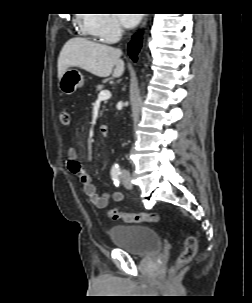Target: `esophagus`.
Here are the masks:
<instances>
[{
  "label": "esophagus",
  "mask_w": 252,
  "mask_h": 303,
  "mask_svg": "<svg viewBox=\"0 0 252 303\" xmlns=\"http://www.w3.org/2000/svg\"><path fill=\"white\" fill-rule=\"evenodd\" d=\"M148 16H149V15L146 14V16H145V18H144V20H143V23H142V25H141L142 28L146 25L147 20H148Z\"/></svg>",
  "instance_id": "34e87169"
}]
</instances>
